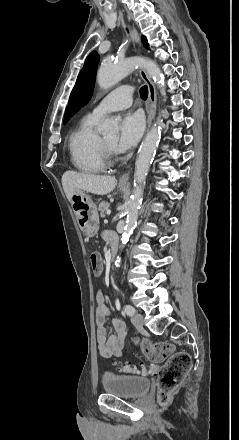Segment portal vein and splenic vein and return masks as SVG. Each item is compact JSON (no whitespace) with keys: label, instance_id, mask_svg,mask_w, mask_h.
Returning a JSON list of instances; mask_svg holds the SVG:
<instances>
[{"label":"portal vein and splenic vein","instance_id":"18ae733b","mask_svg":"<svg viewBox=\"0 0 239 440\" xmlns=\"http://www.w3.org/2000/svg\"><path fill=\"white\" fill-rule=\"evenodd\" d=\"M107 214H111V209H107Z\"/></svg>","mask_w":239,"mask_h":440}]
</instances>
